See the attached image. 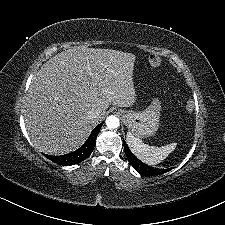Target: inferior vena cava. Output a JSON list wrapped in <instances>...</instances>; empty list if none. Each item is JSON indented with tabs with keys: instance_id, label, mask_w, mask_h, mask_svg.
I'll list each match as a JSON object with an SVG mask.
<instances>
[{
	"instance_id": "obj_1",
	"label": "inferior vena cava",
	"mask_w": 225,
	"mask_h": 225,
	"mask_svg": "<svg viewBox=\"0 0 225 225\" xmlns=\"http://www.w3.org/2000/svg\"><path fill=\"white\" fill-rule=\"evenodd\" d=\"M88 116L90 117V118H96V117H98L99 116V112L97 111V110H91V111H88Z\"/></svg>"
}]
</instances>
